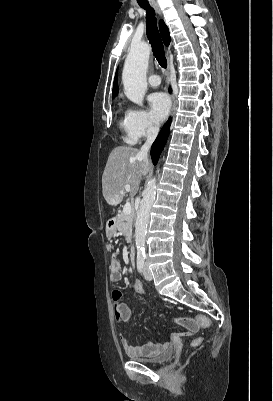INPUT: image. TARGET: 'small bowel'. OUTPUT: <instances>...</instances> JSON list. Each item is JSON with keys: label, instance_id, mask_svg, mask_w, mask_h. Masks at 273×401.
Returning a JSON list of instances; mask_svg holds the SVG:
<instances>
[{"label": "small bowel", "instance_id": "c3829d8e", "mask_svg": "<svg viewBox=\"0 0 273 401\" xmlns=\"http://www.w3.org/2000/svg\"><path fill=\"white\" fill-rule=\"evenodd\" d=\"M109 279L111 282H118L121 279V261L119 259H112L109 266ZM117 308L122 312L124 321L123 323H129L134 320V316L130 310V308L125 303H118ZM176 321H185V318L176 319ZM172 338H190L191 332L190 331H172L171 332ZM123 348L133 357L137 356H154L157 355L161 350L166 349L169 345L168 342H164L161 344H147L143 346H134L129 344V342L123 338L122 339Z\"/></svg>", "mask_w": 273, "mask_h": 401}]
</instances>
